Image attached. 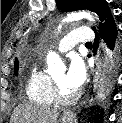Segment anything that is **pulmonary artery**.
Here are the masks:
<instances>
[{
	"mask_svg": "<svg viewBox=\"0 0 122 123\" xmlns=\"http://www.w3.org/2000/svg\"><path fill=\"white\" fill-rule=\"evenodd\" d=\"M94 39L93 31L88 27H80L72 30L59 42L57 49L66 52L78 43L91 42Z\"/></svg>",
	"mask_w": 122,
	"mask_h": 123,
	"instance_id": "1",
	"label": "pulmonary artery"
}]
</instances>
